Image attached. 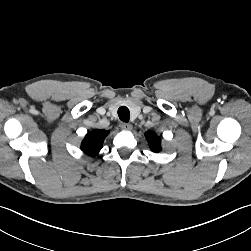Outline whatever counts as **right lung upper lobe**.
Segmentation results:
<instances>
[{
    "instance_id": "right-lung-upper-lobe-1",
    "label": "right lung upper lobe",
    "mask_w": 251,
    "mask_h": 251,
    "mask_svg": "<svg viewBox=\"0 0 251 251\" xmlns=\"http://www.w3.org/2000/svg\"><path fill=\"white\" fill-rule=\"evenodd\" d=\"M108 133L109 132L106 130H94L89 132L81 144V149L90 156L97 155Z\"/></svg>"
}]
</instances>
